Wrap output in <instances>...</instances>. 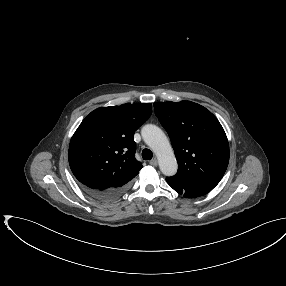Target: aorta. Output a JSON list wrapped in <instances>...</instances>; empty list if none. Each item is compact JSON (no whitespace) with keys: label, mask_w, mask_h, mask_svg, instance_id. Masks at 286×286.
Returning a JSON list of instances; mask_svg holds the SVG:
<instances>
[{"label":"aorta","mask_w":286,"mask_h":286,"mask_svg":"<svg viewBox=\"0 0 286 286\" xmlns=\"http://www.w3.org/2000/svg\"><path fill=\"white\" fill-rule=\"evenodd\" d=\"M141 133L145 143L156 154L161 172L165 176L175 175L178 164L165 133L158 126L152 124L145 125Z\"/></svg>","instance_id":"1"}]
</instances>
